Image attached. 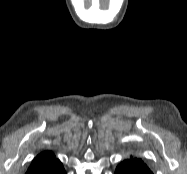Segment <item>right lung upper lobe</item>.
I'll return each instance as SVG.
<instances>
[{"label":"right lung upper lobe","mask_w":187,"mask_h":174,"mask_svg":"<svg viewBox=\"0 0 187 174\" xmlns=\"http://www.w3.org/2000/svg\"><path fill=\"white\" fill-rule=\"evenodd\" d=\"M63 169L53 153L45 151L39 154L31 163L26 174H57Z\"/></svg>","instance_id":"cb5924a9"}]
</instances>
